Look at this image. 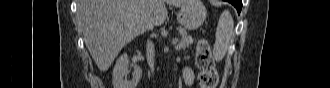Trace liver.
Segmentation results:
<instances>
[{"instance_id":"obj_1","label":"liver","mask_w":330,"mask_h":88,"mask_svg":"<svg viewBox=\"0 0 330 88\" xmlns=\"http://www.w3.org/2000/svg\"><path fill=\"white\" fill-rule=\"evenodd\" d=\"M166 3L182 8L190 0H80L78 18L97 67L107 71L125 45L162 25L168 15Z\"/></svg>"}]
</instances>
